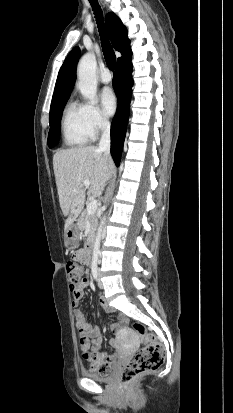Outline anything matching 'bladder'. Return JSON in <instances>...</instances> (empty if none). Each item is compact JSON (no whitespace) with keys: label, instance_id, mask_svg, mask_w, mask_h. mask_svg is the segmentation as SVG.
Masks as SVG:
<instances>
[{"label":"bladder","instance_id":"31cf9c89","mask_svg":"<svg viewBox=\"0 0 233 413\" xmlns=\"http://www.w3.org/2000/svg\"><path fill=\"white\" fill-rule=\"evenodd\" d=\"M82 375L91 380L103 383L109 382L112 379V374L110 372L102 374L98 372L83 371Z\"/></svg>","mask_w":233,"mask_h":413}]
</instances>
